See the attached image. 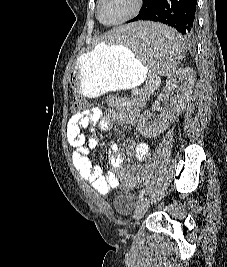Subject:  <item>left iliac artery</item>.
Returning <instances> with one entry per match:
<instances>
[{"label": "left iliac artery", "mask_w": 227, "mask_h": 267, "mask_svg": "<svg viewBox=\"0 0 227 267\" xmlns=\"http://www.w3.org/2000/svg\"><path fill=\"white\" fill-rule=\"evenodd\" d=\"M144 194H145V189L143 188L139 193V201L143 198Z\"/></svg>", "instance_id": "obj_1"}]
</instances>
